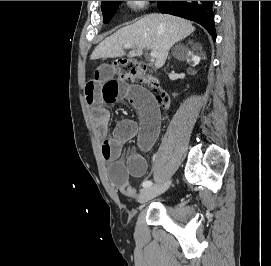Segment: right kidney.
I'll return each instance as SVG.
<instances>
[{
    "label": "right kidney",
    "mask_w": 271,
    "mask_h": 266,
    "mask_svg": "<svg viewBox=\"0 0 271 266\" xmlns=\"http://www.w3.org/2000/svg\"><path fill=\"white\" fill-rule=\"evenodd\" d=\"M187 61L192 65L195 66L200 62V58L196 55H193L191 51H187Z\"/></svg>",
    "instance_id": "right-kidney-1"
}]
</instances>
